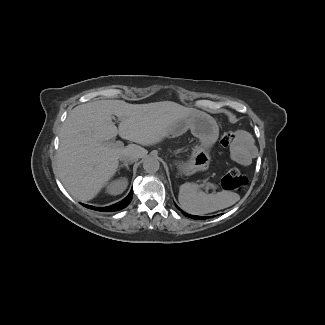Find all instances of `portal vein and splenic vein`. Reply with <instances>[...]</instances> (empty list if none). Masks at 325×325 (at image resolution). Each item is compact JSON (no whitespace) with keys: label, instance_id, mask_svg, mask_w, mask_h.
<instances>
[{"label":"portal vein and splenic vein","instance_id":"portal-vein-and-splenic-vein-1","mask_svg":"<svg viewBox=\"0 0 325 325\" xmlns=\"http://www.w3.org/2000/svg\"><path fill=\"white\" fill-rule=\"evenodd\" d=\"M114 144H118V145H123V143L121 142V141H118V142H116V143H112V144H110V145H114ZM205 186H206V188L208 189L210 186H211V184L210 183H206L205 184Z\"/></svg>","mask_w":325,"mask_h":325}]
</instances>
